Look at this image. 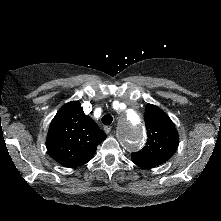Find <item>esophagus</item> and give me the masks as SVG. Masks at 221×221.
I'll list each match as a JSON object with an SVG mask.
<instances>
[{"label": "esophagus", "instance_id": "34e87169", "mask_svg": "<svg viewBox=\"0 0 221 221\" xmlns=\"http://www.w3.org/2000/svg\"><path fill=\"white\" fill-rule=\"evenodd\" d=\"M111 129H112L111 126H105V127H104V131H105V133H107V134L111 131Z\"/></svg>", "mask_w": 221, "mask_h": 221}]
</instances>
